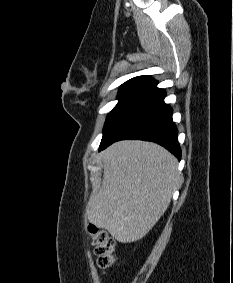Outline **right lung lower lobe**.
Segmentation results:
<instances>
[{"label": "right lung lower lobe", "instance_id": "1", "mask_svg": "<svg viewBox=\"0 0 233 283\" xmlns=\"http://www.w3.org/2000/svg\"><path fill=\"white\" fill-rule=\"evenodd\" d=\"M153 82L118 122L107 139L100 145L103 150L123 139H140L160 144L181 159L177 140L178 130L172 121V108L165 104L166 92Z\"/></svg>", "mask_w": 233, "mask_h": 283}]
</instances>
